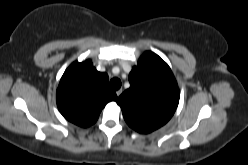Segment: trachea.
Wrapping results in <instances>:
<instances>
[{"label": "trachea", "instance_id": "obj_1", "mask_svg": "<svg viewBox=\"0 0 248 165\" xmlns=\"http://www.w3.org/2000/svg\"><path fill=\"white\" fill-rule=\"evenodd\" d=\"M110 87L113 90H118L121 87V81L118 78H113L110 81Z\"/></svg>", "mask_w": 248, "mask_h": 165}]
</instances>
